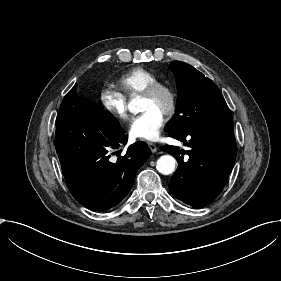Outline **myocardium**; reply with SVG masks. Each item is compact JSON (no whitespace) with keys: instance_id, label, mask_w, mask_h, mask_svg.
<instances>
[{"instance_id":"obj_1","label":"myocardium","mask_w":281,"mask_h":281,"mask_svg":"<svg viewBox=\"0 0 281 281\" xmlns=\"http://www.w3.org/2000/svg\"><path fill=\"white\" fill-rule=\"evenodd\" d=\"M160 96H163L165 103L162 109L164 116H170L176 109V95L171 87L163 83H155L147 88L143 93L142 97L150 101H156Z\"/></svg>"}]
</instances>
